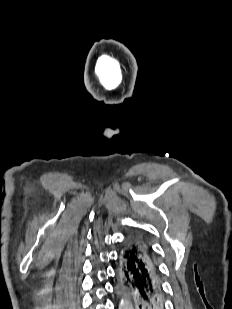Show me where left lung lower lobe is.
<instances>
[{"label": "left lung lower lobe", "mask_w": 232, "mask_h": 309, "mask_svg": "<svg viewBox=\"0 0 232 309\" xmlns=\"http://www.w3.org/2000/svg\"><path fill=\"white\" fill-rule=\"evenodd\" d=\"M117 277L120 289L134 300L135 309H164L158 264L133 235L119 252Z\"/></svg>", "instance_id": "left-lung-lower-lobe-1"}]
</instances>
